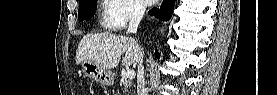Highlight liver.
Segmentation results:
<instances>
[{"label": "liver", "mask_w": 277, "mask_h": 95, "mask_svg": "<svg viewBox=\"0 0 277 95\" xmlns=\"http://www.w3.org/2000/svg\"><path fill=\"white\" fill-rule=\"evenodd\" d=\"M125 53L122 64L125 67L135 66L139 55L132 39L123 35L108 32L88 34L80 41L76 51V64L92 61L104 69L115 68Z\"/></svg>", "instance_id": "obj_1"}]
</instances>
